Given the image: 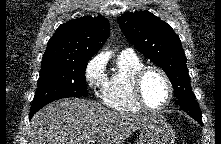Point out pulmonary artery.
I'll return each instance as SVG.
<instances>
[{
  "mask_svg": "<svg viewBox=\"0 0 221 144\" xmlns=\"http://www.w3.org/2000/svg\"><path fill=\"white\" fill-rule=\"evenodd\" d=\"M121 53L128 54V55H133L134 51L132 49H125V50H122Z\"/></svg>",
  "mask_w": 221,
  "mask_h": 144,
  "instance_id": "pulmonary-artery-1",
  "label": "pulmonary artery"
}]
</instances>
